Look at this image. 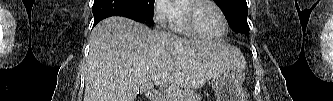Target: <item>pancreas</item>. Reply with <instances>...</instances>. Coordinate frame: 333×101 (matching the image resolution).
<instances>
[{"label": "pancreas", "mask_w": 333, "mask_h": 101, "mask_svg": "<svg viewBox=\"0 0 333 101\" xmlns=\"http://www.w3.org/2000/svg\"><path fill=\"white\" fill-rule=\"evenodd\" d=\"M201 97L192 89L185 91H176L175 93L167 94L165 101H200Z\"/></svg>", "instance_id": "obj_1"}]
</instances>
